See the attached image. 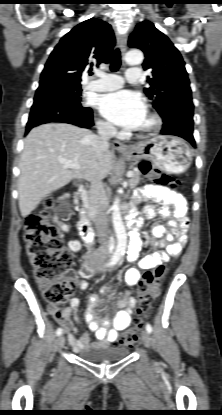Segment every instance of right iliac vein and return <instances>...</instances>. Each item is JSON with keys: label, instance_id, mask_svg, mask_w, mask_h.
Instances as JSON below:
<instances>
[{"label": "right iliac vein", "instance_id": "63e3f726", "mask_svg": "<svg viewBox=\"0 0 222 415\" xmlns=\"http://www.w3.org/2000/svg\"><path fill=\"white\" fill-rule=\"evenodd\" d=\"M58 345H59L60 348H63L64 347V345H65V337H64V335H60L58 337Z\"/></svg>", "mask_w": 222, "mask_h": 415}]
</instances>
